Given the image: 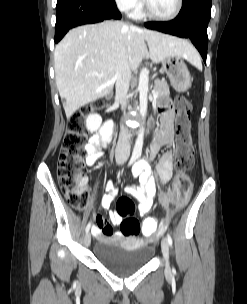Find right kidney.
Listing matches in <instances>:
<instances>
[{"mask_svg":"<svg viewBox=\"0 0 247 304\" xmlns=\"http://www.w3.org/2000/svg\"><path fill=\"white\" fill-rule=\"evenodd\" d=\"M102 124V118L98 114H91L86 119V128L90 132H96Z\"/></svg>","mask_w":247,"mask_h":304,"instance_id":"right-kidney-1","label":"right kidney"}]
</instances>
